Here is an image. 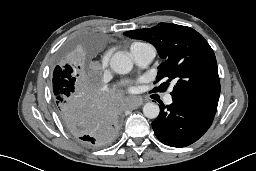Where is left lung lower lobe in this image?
<instances>
[{"instance_id": "1", "label": "left lung lower lobe", "mask_w": 256, "mask_h": 171, "mask_svg": "<svg viewBox=\"0 0 256 171\" xmlns=\"http://www.w3.org/2000/svg\"><path fill=\"white\" fill-rule=\"evenodd\" d=\"M173 103L160 107L152 127L157 138L172 147H185L197 141L210 127L218 99L191 93L172 95Z\"/></svg>"}]
</instances>
